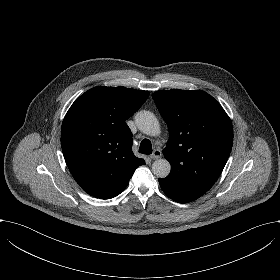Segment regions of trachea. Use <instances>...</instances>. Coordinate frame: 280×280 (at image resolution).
Returning <instances> with one entry per match:
<instances>
[{"mask_svg":"<svg viewBox=\"0 0 280 280\" xmlns=\"http://www.w3.org/2000/svg\"><path fill=\"white\" fill-rule=\"evenodd\" d=\"M139 152L142 154H151L152 153V144L148 139H143L141 141Z\"/></svg>","mask_w":280,"mask_h":280,"instance_id":"3493384b","label":"trachea"}]
</instances>
